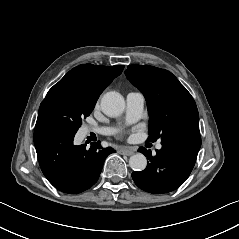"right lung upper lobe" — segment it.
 Returning <instances> with one entry per match:
<instances>
[{
    "label": "right lung upper lobe",
    "instance_id": "obj_1",
    "mask_svg": "<svg viewBox=\"0 0 239 239\" xmlns=\"http://www.w3.org/2000/svg\"><path fill=\"white\" fill-rule=\"evenodd\" d=\"M124 66L82 64L70 70L58 83L66 84L83 97L98 99L102 91L119 76Z\"/></svg>",
    "mask_w": 239,
    "mask_h": 239
}]
</instances>
